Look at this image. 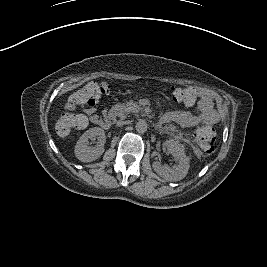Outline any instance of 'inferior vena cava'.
<instances>
[{"mask_svg":"<svg viewBox=\"0 0 267 267\" xmlns=\"http://www.w3.org/2000/svg\"><path fill=\"white\" fill-rule=\"evenodd\" d=\"M118 124H119V125H124L125 122H124V121H119Z\"/></svg>","mask_w":267,"mask_h":267,"instance_id":"1","label":"inferior vena cava"}]
</instances>
